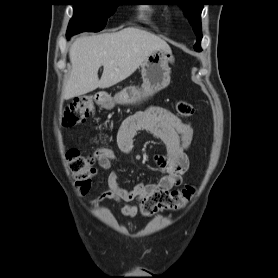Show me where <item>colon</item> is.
Wrapping results in <instances>:
<instances>
[{"mask_svg":"<svg viewBox=\"0 0 278 278\" xmlns=\"http://www.w3.org/2000/svg\"><path fill=\"white\" fill-rule=\"evenodd\" d=\"M93 109L94 104L91 97H79L64 108L62 124L67 127L80 125L86 121ZM176 110L180 116L185 118H189L195 113L194 106L186 101L178 102ZM192 141L193 134L186 133L180 138L179 145L182 148H188ZM100 157H114V152L111 149L102 148L97 150L94 156H88L78 149L67 150L66 159L79 193H85L89 189L96 174L93 165L94 159L98 160ZM194 192L195 189L192 186H186L181 190L155 191L143 200L141 213L144 216H151L162 211L181 209L192 198Z\"/></svg>","mask_w":278,"mask_h":278,"instance_id":"1","label":"colon"}]
</instances>
